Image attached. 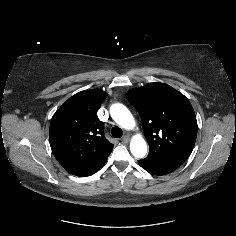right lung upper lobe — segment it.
<instances>
[{"label": "right lung upper lobe", "instance_id": "cb5924a9", "mask_svg": "<svg viewBox=\"0 0 236 236\" xmlns=\"http://www.w3.org/2000/svg\"><path fill=\"white\" fill-rule=\"evenodd\" d=\"M106 96L98 90L81 91L62 104L51 119L52 152L62 167L73 175L94 174L113 149L97 116V109Z\"/></svg>", "mask_w": 236, "mask_h": 236}]
</instances>
